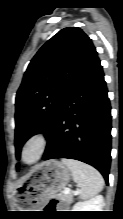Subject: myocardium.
<instances>
[{"label": "myocardium", "mask_w": 123, "mask_h": 219, "mask_svg": "<svg viewBox=\"0 0 123 219\" xmlns=\"http://www.w3.org/2000/svg\"><path fill=\"white\" fill-rule=\"evenodd\" d=\"M47 146V136L44 131H37L30 135L22 145L20 158L23 163L32 165L38 162L46 149ZM29 148H34L36 151L35 157L32 160H26L25 153Z\"/></svg>", "instance_id": "obj_1"}]
</instances>
